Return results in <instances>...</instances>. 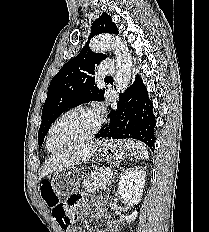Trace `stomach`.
Listing matches in <instances>:
<instances>
[{"label": "stomach", "mask_w": 209, "mask_h": 232, "mask_svg": "<svg viewBox=\"0 0 209 232\" xmlns=\"http://www.w3.org/2000/svg\"><path fill=\"white\" fill-rule=\"evenodd\" d=\"M135 151V143L132 141L106 140L100 146V152L108 161L117 160L132 155ZM80 171L74 167H67L54 172L51 186L58 195H67L79 188L83 178H79Z\"/></svg>", "instance_id": "0dacf381"}]
</instances>
